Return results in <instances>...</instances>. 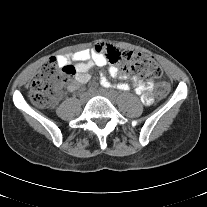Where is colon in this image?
I'll return each instance as SVG.
<instances>
[{
  "label": "colon",
  "mask_w": 207,
  "mask_h": 207,
  "mask_svg": "<svg viewBox=\"0 0 207 207\" xmlns=\"http://www.w3.org/2000/svg\"><path fill=\"white\" fill-rule=\"evenodd\" d=\"M95 49L102 53L109 63L120 65L125 77L150 80L161 78L163 74L160 65L148 54L120 50L107 44L96 45ZM73 74L72 66H61L56 57H51L41 66L37 77L30 84L31 103L36 107L54 105L62 94L63 85ZM166 93L167 87L162 86L157 92V98H163Z\"/></svg>",
  "instance_id": "obj_1"
}]
</instances>
